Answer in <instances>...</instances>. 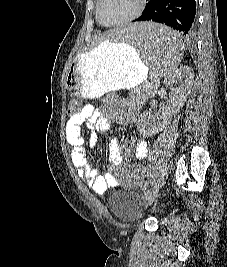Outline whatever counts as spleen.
Masks as SVG:
<instances>
[{"label": "spleen", "mask_w": 227, "mask_h": 267, "mask_svg": "<svg viewBox=\"0 0 227 267\" xmlns=\"http://www.w3.org/2000/svg\"><path fill=\"white\" fill-rule=\"evenodd\" d=\"M119 33L109 36V41L126 43V47H136L139 59L150 63L149 77H174V72L183 57L185 46L179 35L165 23L122 22L115 26Z\"/></svg>", "instance_id": "1"}]
</instances>
